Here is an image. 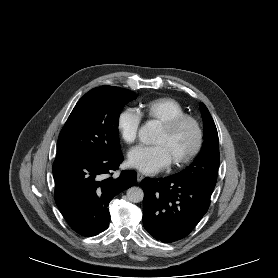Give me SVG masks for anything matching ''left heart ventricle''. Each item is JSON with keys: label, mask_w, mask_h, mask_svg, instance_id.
<instances>
[{"label": "left heart ventricle", "mask_w": 278, "mask_h": 278, "mask_svg": "<svg viewBox=\"0 0 278 278\" xmlns=\"http://www.w3.org/2000/svg\"><path fill=\"white\" fill-rule=\"evenodd\" d=\"M155 145H161L172 163L173 161L186 155L195 143V131L190 124H184L172 134H166L162 128L158 131Z\"/></svg>", "instance_id": "1"}]
</instances>
